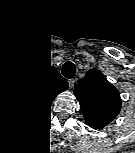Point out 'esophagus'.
Listing matches in <instances>:
<instances>
[{
  "label": "esophagus",
  "instance_id": "obj_1",
  "mask_svg": "<svg viewBox=\"0 0 135 153\" xmlns=\"http://www.w3.org/2000/svg\"><path fill=\"white\" fill-rule=\"evenodd\" d=\"M75 81H76L75 78H71V79H69V86H70V87H73L74 84H75Z\"/></svg>",
  "mask_w": 135,
  "mask_h": 153
}]
</instances>
